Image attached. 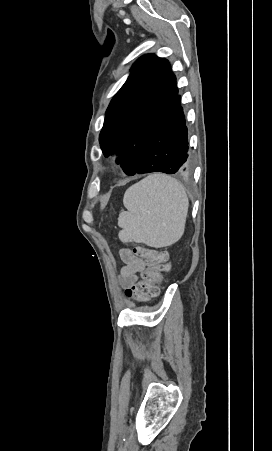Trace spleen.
<instances>
[{
	"mask_svg": "<svg viewBox=\"0 0 272 451\" xmlns=\"http://www.w3.org/2000/svg\"><path fill=\"white\" fill-rule=\"evenodd\" d=\"M123 204L128 212L118 218L119 239L166 247L184 233L188 198L184 186L166 174H150L126 190Z\"/></svg>",
	"mask_w": 272,
	"mask_h": 451,
	"instance_id": "obj_1",
	"label": "spleen"
}]
</instances>
